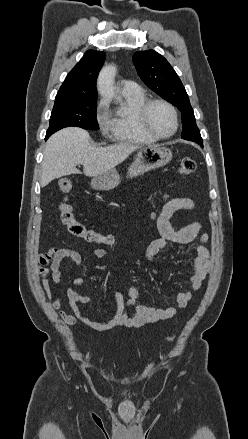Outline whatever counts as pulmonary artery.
Listing matches in <instances>:
<instances>
[{
	"label": "pulmonary artery",
	"mask_w": 248,
	"mask_h": 439,
	"mask_svg": "<svg viewBox=\"0 0 248 439\" xmlns=\"http://www.w3.org/2000/svg\"><path fill=\"white\" fill-rule=\"evenodd\" d=\"M140 89V87L133 81L131 80H123L121 82V90L122 92L125 93H132V92H136Z\"/></svg>",
	"instance_id": "obj_1"
}]
</instances>
